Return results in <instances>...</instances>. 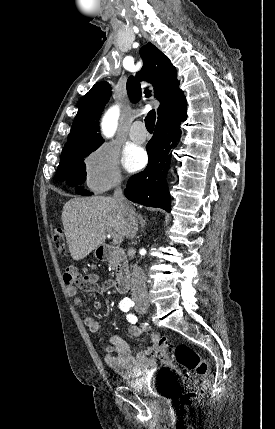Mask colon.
Listing matches in <instances>:
<instances>
[{"label": "colon", "mask_w": 275, "mask_h": 429, "mask_svg": "<svg viewBox=\"0 0 275 429\" xmlns=\"http://www.w3.org/2000/svg\"><path fill=\"white\" fill-rule=\"evenodd\" d=\"M53 242L60 254H66V244L60 229L54 231ZM64 274L65 277L70 276L68 272ZM156 355L164 364L169 375L176 377V379H182L186 386L195 387L193 390L182 394V403L192 405L197 402L205 393L208 387V380L201 386H197V382L199 378L209 375V364L188 345L179 344L172 349L165 338L160 341ZM174 363L179 366V369L175 368Z\"/></svg>", "instance_id": "1"}]
</instances>
